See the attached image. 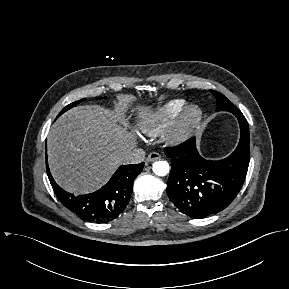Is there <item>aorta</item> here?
Segmentation results:
<instances>
[{
  "mask_svg": "<svg viewBox=\"0 0 289 289\" xmlns=\"http://www.w3.org/2000/svg\"><path fill=\"white\" fill-rule=\"evenodd\" d=\"M169 164L166 161H156L153 163V172L157 176H165L169 172Z\"/></svg>",
  "mask_w": 289,
  "mask_h": 289,
  "instance_id": "762f6f07",
  "label": "aorta"
}]
</instances>
